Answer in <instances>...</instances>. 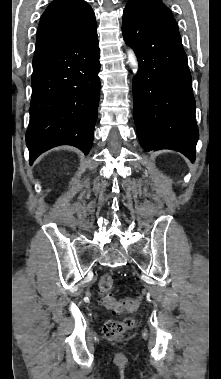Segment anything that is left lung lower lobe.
I'll list each match as a JSON object with an SVG mask.
<instances>
[{
    "instance_id": "1",
    "label": "left lung lower lobe",
    "mask_w": 221,
    "mask_h": 379,
    "mask_svg": "<svg viewBox=\"0 0 221 379\" xmlns=\"http://www.w3.org/2000/svg\"><path fill=\"white\" fill-rule=\"evenodd\" d=\"M122 33L139 62L133 115L143 149L176 150L194 162L199 137L195 100L176 22L130 2L123 13Z\"/></svg>"
}]
</instances>
